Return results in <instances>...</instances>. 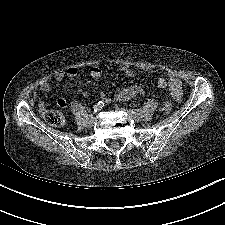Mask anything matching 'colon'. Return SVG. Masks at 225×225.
Returning <instances> with one entry per match:
<instances>
[{"mask_svg": "<svg viewBox=\"0 0 225 225\" xmlns=\"http://www.w3.org/2000/svg\"><path fill=\"white\" fill-rule=\"evenodd\" d=\"M172 110L171 101H166L163 103L162 111L165 114H169ZM44 119L52 126L62 127L65 124V116L59 110L55 109H45L43 111Z\"/></svg>", "mask_w": 225, "mask_h": 225, "instance_id": "1", "label": "colon"}]
</instances>
